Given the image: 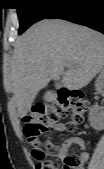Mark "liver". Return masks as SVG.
Wrapping results in <instances>:
<instances>
[{
	"mask_svg": "<svg viewBox=\"0 0 104 169\" xmlns=\"http://www.w3.org/2000/svg\"><path fill=\"white\" fill-rule=\"evenodd\" d=\"M104 66V36L61 19H45L17 41L5 86L13 92L19 117H24L37 93L51 80L80 89ZM66 68V70H65Z\"/></svg>",
	"mask_w": 104,
	"mask_h": 169,
	"instance_id": "1",
	"label": "liver"
}]
</instances>
